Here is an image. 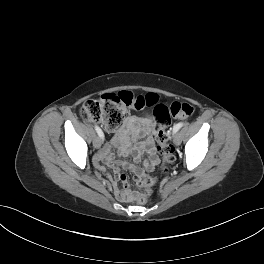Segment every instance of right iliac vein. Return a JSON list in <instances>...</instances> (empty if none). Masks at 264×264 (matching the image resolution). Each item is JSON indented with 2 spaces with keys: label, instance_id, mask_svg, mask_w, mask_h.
<instances>
[{
  "label": "right iliac vein",
  "instance_id": "right-iliac-vein-1",
  "mask_svg": "<svg viewBox=\"0 0 264 264\" xmlns=\"http://www.w3.org/2000/svg\"><path fill=\"white\" fill-rule=\"evenodd\" d=\"M101 144H102L101 138L96 137L95 140H94V146H95V148H100L101 147Z\"/></svg>",
  "mask_w": 264,
  "mask_h": 264
}]
</instances>
